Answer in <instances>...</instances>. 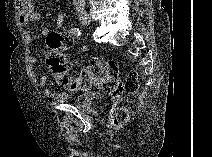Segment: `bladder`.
Instances as JSON below:
<instances>
[{"label": "bladder", "instance_id": "obj_1", "mask_svg": "<svg viewBox=\"0 0 212 157\" xmlns=\"http://www.w3.org/2000/svg\"><path fill=\"white\" fill-rule=\"evenodd\" d=\"M107 102L106 93L87 90L82 93L73 95L71 103L79 110L88 113H98L105 108Z\"/></svg>", "mask_w": 212, "mask_h": 157}]
</instances>
